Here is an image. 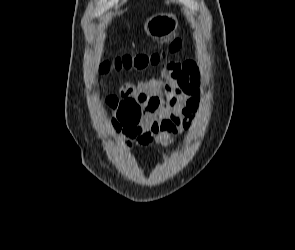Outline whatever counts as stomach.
<instances>
[{
	"instance_id": "1",
	"label": "stomach",
	"mask_w": 295,
	"mask_h": 250,
	"mask_svg": "<svg viewBox=\"0 0 295 250\" xmlns=\"http://www.w3.org/2000/svg\"><path fill=\"white\" fill-rule=\"evenodd\" d=\"M178 27V20L172 13H159L150 17L144 29L155 38H165L172 35Z\"/></svg>"
}]
</instances>
